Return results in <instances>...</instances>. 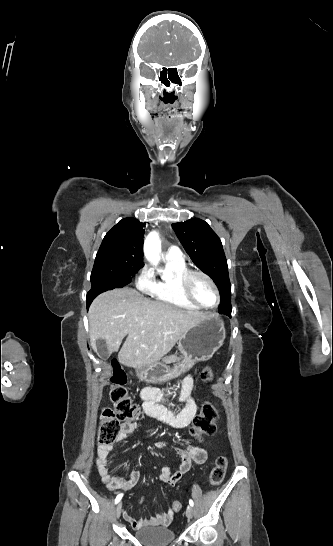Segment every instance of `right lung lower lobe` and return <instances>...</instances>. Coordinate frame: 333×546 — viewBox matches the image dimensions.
<instances>
[{
  "instance_id": "right-lung-lower-lobe-1",
  "label": "right lung lower lobe",
  "mask_w": 333,
  "mask_h": 546,
  "mask_svg": "<svg viewBox=\"0 0 333 546\" xmlns=\"http://www.w3.org/2000/svg\"><path fill=\"white\" fill-rule=\"evenodd\" d=\"M93 298L90 297L87 293V308L90 306L91 302H92Z\"/></svg>"
}]
</instances>
